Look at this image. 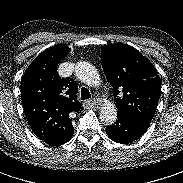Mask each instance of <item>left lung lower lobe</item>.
Instances as JSON below:
<instances>
[{
  "label": "left lung lower lobe",
  "mask_w": 183,
  "mask_h": 183,
  "mask_svg": "<svg viewBox=\"0 0 183 183\" xmlns=\"http://www.w3.org/2000/svg\"><path fill=\"white\" fill-rule=\"evenodd\" d=\"M148 126L145 121L118 114L116 122L106 127V132L111 140L126 144L140 138Z\"/></svg>",
  "instance_id": "left-lung-lower-lobe-1"
}]
</instances>
